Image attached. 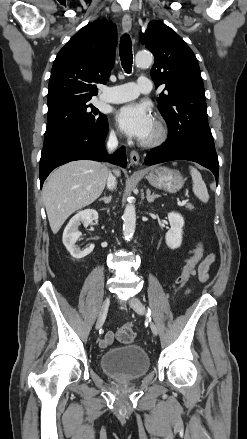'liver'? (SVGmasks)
<instances>
[{
	"label": "liver",
	"mask_w": 247,
	"mask_h": 439,
	"mask_svg": "<svg viewBox=\"0 0 247 439\" xmlns=\"http://www.w3.org/2000/svg\"><path fill=\"white\" fill-rule=\"evenodd\" d=\"M120 175V172L116 170ZM108 177L104 163L77 160L51 173L42 197L51 230L56 234L75 211L93 203L103 192Z\"/></svg>",
	"instance_id": "liver-1"
}]
</instances>
